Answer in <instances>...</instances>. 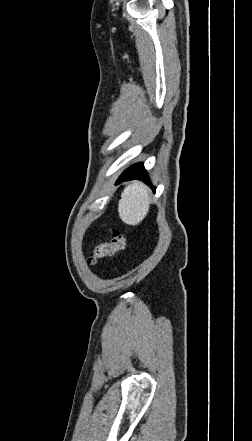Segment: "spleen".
<instances>
[{"label":"spleen","instance_id":"spleen-1","mask_svg":"<svg viewBox=\"0 0 252 441\" xmlns=\"http://www.w3.org/2000/svg\"><path fill=\"white\" fill-rule=\"evenodd\" d=\"M149 205V188L141 182H133L121 194L118 204L119 216L128 225H137L147 215Z\"/></svg>","mask_w":252,"mask_h":441}]
</instances>
